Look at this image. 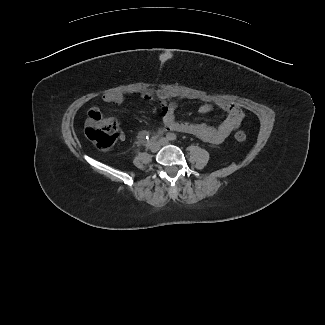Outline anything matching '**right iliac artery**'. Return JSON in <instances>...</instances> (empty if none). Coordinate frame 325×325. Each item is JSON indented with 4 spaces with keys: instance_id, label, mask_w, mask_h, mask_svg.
<instances>
[{
    "instance_id": "right-iliac-artery-1",
    "label": "right iliac artery",
    "mask_w": 325,
    "mask_h": 325,
    "mask_svg": "<svg viewBox=\"0 0 325 325\" xmlns=\"http://www.w3.org/2000/svg\"><path fill=\"white\" fill-rule=\"evenodd\" d=\"M158 139V136H153L146 142V147H150L152 144H154Z\"/></svg>"
}]
</instances>
